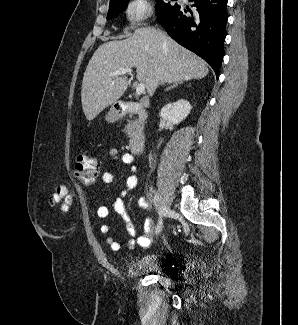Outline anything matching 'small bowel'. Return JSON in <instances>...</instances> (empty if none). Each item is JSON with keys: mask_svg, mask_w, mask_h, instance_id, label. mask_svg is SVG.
Returning a JSON list of instances; mask_svg holds the SVG:
<instances>
[{"mask_svg": "<svg viewBox=\"0 0 298 325\" xmlns=\"http://www.w3.org/2000/svg\"><path fill=\"white\" fill-rule=\"evenodd\" d=\"M109 156L113 161H121L123 164L127 165L130 170V175L126 180V189L121 192V197L117 198L113 202V208L115 212L123 219L126 224V230L130 237L136 235V228L132 223L127 211L125 204L123 202V197H125L129 190L135 188L138 185L137 166L134 163V157L130 153H123L117 148H112L109 150ZM115 178V173L113 171H106L102 174V181L106 184L112 183ZM138 204L141 207H146V201L144 197L138 199ZM109 215V209L106 206H100L97 209V216L101 219H106ZM153 231V221L150 218H147L144 222L143 234L135 241L130 239L124 243L117 240L111 234V227L108 224H102L100 227V232L106 236V243L114 251H119L123 246L128 249H133L136 245L141 247H147L150 244V237Z\"/></svg>", "mask_w": 298, "mask_h": 325, "instance_id": "1", "label": "small bowel"}]
</instances>
